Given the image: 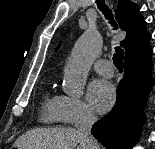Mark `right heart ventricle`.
<instances>
[{
  "mask_svg": "<svg viewBox=\"0 0 155 149\" xmlns=\"http://www.w3.org/2000/svg\"><path fill=\"white\" fill-rule=\"evenodd\" d=\"M40 120L45 123L61 121L60 96L46 93L41 106Z\"/></svg>",
  "mask_w": 155,
  "mask_h": 149,
  "instance_id": "obj_1",
  "label": "right heart ventricle"
}]
</instances>
